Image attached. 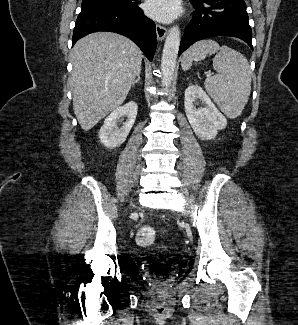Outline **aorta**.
Returning <instances> with one entry per match:
<instances>
[{"label": "aorta", "mask_w": 298, "mask_h": 325, "mask_svg": "<svg viewBox=\"0 0 298 325\" xmlns=\"http://www.w3.org/2000/svg\"><path fill=\"white\" fill-rule=\"evenodd\" d=\"M180 44V26L174 24L167 32L161 56V84L164 88H169L173 82Z\"/></svg>", "instance_id": "762f6f07"}]
</instances>
